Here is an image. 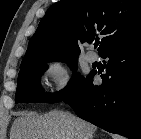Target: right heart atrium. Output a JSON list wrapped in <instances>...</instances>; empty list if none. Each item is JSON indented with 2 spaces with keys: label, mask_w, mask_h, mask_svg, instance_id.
Segmentation results:
<instances>
[{
  "label": "right heart atrium",
  "mask_w": 141,
  "mask_h": 139,
  "mask_svg": "<svg viewBox=\"0 0 141 139\" xmlns=\"http://www.w3.org/2000/svg\"><path fill=\"white\" fill-rule=\"evenodd\" d=\"M43 77L48 92L53 97L65 94L73 82V74L70 67L60 61L48 62L43 69Z\"/></svg>",
  "instance_id": "right-heart-atrium-1"
}]
</instances>
